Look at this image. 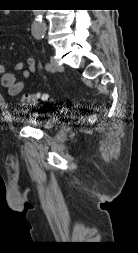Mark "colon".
Returning <instances> with one entry per match:
<instances>
[{"mask_svg":"<svg viewBox=\"0 0 138 253\" xmlns=\"http://www.w3.org/2000/svg\"><path fill=\"white\" fill-rule=\"evenodd\" d=\"M47 99H48V96L46 94L36 92V93L24 94L22 96L21 101L26 106H32L41 101H46Z\"/></svg>","mask_w":138,"mask_h":253,"instance_id":"obj_1","label":"colon"}]
</instances>
